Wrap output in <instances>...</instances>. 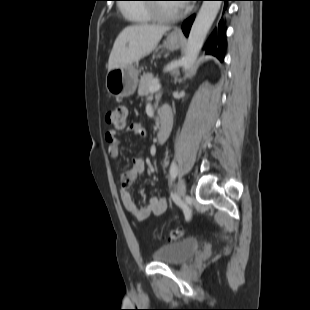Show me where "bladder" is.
Here are the masks:
<instances>
[{"label": "bladder", "mask_w": 310, "mask_h": 310, "mask_svg": "<svg viewBox=\"0 0 310 310\" xmlns=\"http://www.w3.org/2000/svg\"><path fill=\"white\" fill-rule=\"evenodd\" d=\"M199 248L196 239H184L159 247L153 253V259L160 263L178 265L189 260Z\"/></svg>", "instance_id": "1"}]
</instances>
